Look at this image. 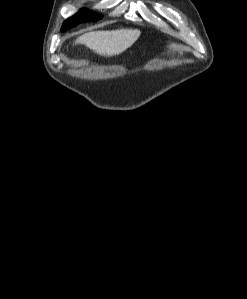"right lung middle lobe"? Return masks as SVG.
Segmentation results:
<instances>
[{
	"instance_id": "1",
	"label": "right lung middle lobe",
	"mask_w": 247,
	"mask_h": 299,
	"mask_svg": "<svg viewBox=\"0 0 247 299\" xmlns=\"http://www.w3.org/2000/svg\"><path fill=\"white\" fill-rule=\"evenodd\" d=\"M101 18H102V15L92 12L90 10L83 9V10L79 11L77 14H75L74 16L68 18L63 23L61 31L65 32L66 30L78 25L79 23L96 21Z\"/></svg>"
}]
</instances>
